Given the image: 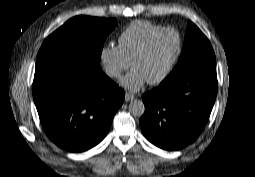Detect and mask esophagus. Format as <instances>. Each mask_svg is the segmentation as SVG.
Returning a JSON list of instances; mask_svg holds the SVG:
<instances>
[{"mask_svg":"<svg viewBox=\"0 0 255 177\" xmlns=\"http://www.w3.org/2000/svg\"><path fill=\"white\" fill-rule=\"evenodd\" d=\"M135 98L134 95L130 94V93H125V101L128 102L130 100H133Z\"/></svg>","mask_w":255,"mask_h":177,"instance_id":"34e87169","label":"esophagus"}]
</instances>
